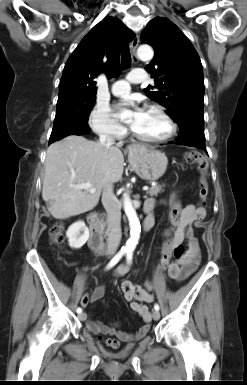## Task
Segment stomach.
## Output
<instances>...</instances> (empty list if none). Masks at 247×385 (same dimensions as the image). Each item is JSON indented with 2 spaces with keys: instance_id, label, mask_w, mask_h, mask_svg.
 Returning a JSON list of instances; mask_svg holds the SVG:
<instances>
[{
  "instance_id": "1",
  "label": "stomach",
  "mask_w": 247,
  "mask_h": 385,
  "mask_svg": "<svg viewBox=\"0 0 247 385\" xmlns=\"http://www.w3.org/2000/svg\"><path fill=\"white\" fill-rule=\"evenodd\" d=\"M128 161L135 173L146 181H156L166 171V155L150 147L134 145L130 148Z\"/></svg>"
}]
</instances>
